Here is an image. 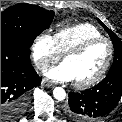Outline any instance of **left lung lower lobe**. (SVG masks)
<instances>
[{
  "label": "left lung lower lobe",
  "mask_w": 122,
  "mask_h": 122,
  "mask_svg": "<svg viewBox=\"0 0 122 122\" xmlns=\"http://www.w3.org/2000/svg\"><path fill=\"white\" fill-rule=\"evenodd\" d=\"M122 96V68L108 73L105 79L81 93H69L64 113L78 121L96 119L110 113Z\"/></svg>",
  "instance_id": "obj_1"
}]
</instances>
